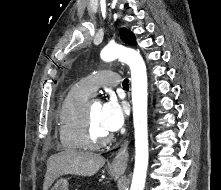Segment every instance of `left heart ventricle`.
Here are the masks:
<instances>
[{
	"label": "left heart ventricle",
	"instance_id": "left-heart-ventricle-1",
	"mask_svg": "<svg viewBox=\"0 0 221 190\" xmlns=\"http://www.w3.org/2000/svg\"><path fill=\"white\" fill-rule=\"evenodd\" d=\"M101 108L102 106L98 102H92L91 104H89L93 130L95 134L99 137L105 136L108 134V132L105 131L101 126V122H100Z\"/></svg>",
	"mask_w": 221,
	"mask_h": 190
}]
</instances>
